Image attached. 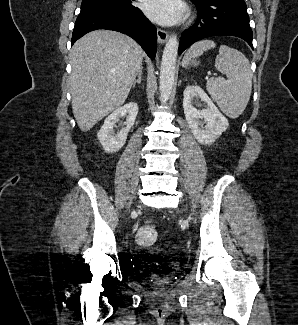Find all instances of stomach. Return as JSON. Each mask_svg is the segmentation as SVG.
Returning <instances> with one entry per match:
<instances>
[{
  "label": "stomach",
  "instance_id": "stomach-1",
  "mask_svg": "<svg viewBox=\"0 0 298 325\" xmlns=\"http://www.w3.org/2000/svg\"><path fill=\"white\" fill-rule=\"evenodd\" d=\"M183 64H184V60H183ZM187 64H191V66H198V64H200V60H197V58H190Z\"/></svg>",
  "mask_w": 298,
  "mask_h": 325
}]
</instances>
